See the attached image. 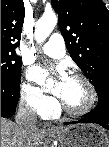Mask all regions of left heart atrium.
I'll return each mask as SVG.
<instances>
[{
  "instance_id": "left-heart-atrium-1",
  "label": "left heart atrium",
  "mask_w": 109,
  "mask_h": 147,
  "mask_svg": "<svg viewBox=\"0 0 109 147\" xmlns=\"http://www.w3.org/2000/svg\"><path fill=\"white\" fill-rule=\"evenodd\" d=\"M58 72L61 77V83H64L68 78L66 77L65 73L62 71V68H58ZM49 75V72L47 70L41 69V68H33L30 71V77L37 82H39L41 85H43L47 90L52 92L53 94L61 97L63 94V88L60 85L55 86L54 88H50L46 85L47 77Z\"/></svg>"
}]
</instances>
